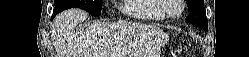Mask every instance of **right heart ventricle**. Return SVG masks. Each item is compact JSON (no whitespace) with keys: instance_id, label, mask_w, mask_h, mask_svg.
<instances>
[{"instance_id":"right-heart-ventricle-1","label":"right heart ventricle","mask_w":249,"mask_h":57,"mask_svg":"<svg viewBox=\"0 0 249 57\" xmlns=\"http://www.w3.org/2000/svg\"><path fill=\"white\" fill-rule=\"evenodd\" d=\"M160 4L161 0H125L123 12L136 20L162 21L166 17Z\"/></svg>"}]
</instances>
